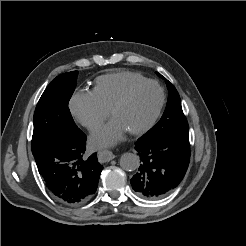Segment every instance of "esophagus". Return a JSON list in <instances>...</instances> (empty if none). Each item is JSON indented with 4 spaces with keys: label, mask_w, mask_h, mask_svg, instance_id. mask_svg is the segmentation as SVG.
<instances>
[{
    "label": "esophagus",
    "mask_w": 246,
    "mask_h": 246,
    "mask_svg": "<svg viewBox=\"0 0 246 246\" xmlns=\"http://www.w3.org/2000/svg\"><path fill=\"white\" fill-rule=\"evenodd\" d=\"M98 158L101 162H108L115 158V155L109 150H102L98 153Z\"/></svg>",
    "instance_id": "34e87169"
}]
</instances>
